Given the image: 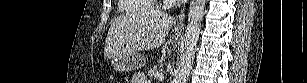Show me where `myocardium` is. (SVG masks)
<instances>
[{"instance_id":"myocardium-1","label":"myocardium","mask_w":307,"mask_h":83,"mask_svg":"<svg viewBox=\"0 0 307 83\" xmlns=\"http://www.w3.org/2000/svg\"><path fill=\"white\" fill-rule=\"evenodd\" d=\"M171 7H172V5L168 1H160L159 4H158V8L163 12H165L166 10H168Z\"/></svg>"}]
</instances>
